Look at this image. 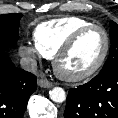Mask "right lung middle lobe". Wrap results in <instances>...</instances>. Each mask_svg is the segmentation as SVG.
Instances as JSON below:
<instances>
[{
    "label": "right lung middle lobe",
    "mask_w": 118,
    "mask_h": 118,
    "mask_svg": "<svg viewBox=\"0 0 118 118\" xmlns=\"http://www.w3.org/2000/svg\"><path fill=\"white\" fill-rule=\"evenodd\" d=\"M22 14L0 15V44L13 47L18 40L19 22Z\"/></svg>",
    "instance_id": "obj_1"
}]
</instances>
